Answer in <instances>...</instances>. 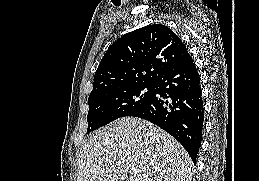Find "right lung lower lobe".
<instances>
[{"label": "right lung lower lobe", "instance_id": "right-lung-lower-lobe-1", "mask_svg": "<svg viewBox=\"0 0 259 181\" xmlns=\"http://www.w3.org/2000/svg\"><path fill=\"white\" fill-rule=\"evenodd\" d=\"M149 100L130 116L148 120L177 139L193 162L201 146L204 110L200 77L190 55L162 72Z\"/></svg>", "mask_w": 259, "mask_h": 181}]
</instances>
